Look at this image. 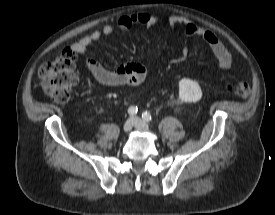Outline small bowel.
<instances>
[{"mask_svg": "<svg viewBox=\"0 0 275 215\" xmlns=\"http://www.w3.org/2000/svg\"><path fill=\"white\" fill-rule=\"evenodd\" d=\"M164 24L172 26L182 25L184 33L187 36L200 37L207 43L221 69L226 70L231 67V54L216 35L210 30L200 27L183 17L169 13H137L120 17L117 20L116 26L119 30H128L135 26L150 28ZM114 29L113 25L106 24L101 29L94 30L90 34L83 36L72 45L71 49L77 53H85L91 44L99 41L103 36L111 35ZM185 56L186 54L179 58V60ZM85 66L96 81L105 86H136L146 79L148 73L146 66L139 62L126 63L119 66L116 70H108L95 59L87 58L85 59Z\"/></svg>", "mask_w": 275, "mask_h": 215, "instance_id": "1", "label": "small bowel"}]
</instances>
